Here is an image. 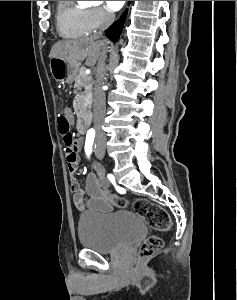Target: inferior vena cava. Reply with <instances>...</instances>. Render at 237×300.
Instances as JSON below:
<instances>
[{
	"label": "inferior vena cava",
	"mask_w": 237,
	"mask_h": 300,
	"mask_svg": "<svg viewBox=\"0 0 237 300\" xmlns=\"http://www.w3.org/2000/svg\"><path fill=\"white\" fill-rule=\"evenodd\" d=\"M115 21L114 13H104L103 21L99 27L98 33H94L93 39H100L103 35V31H106L112 23ZM105 61H106V49H102L100 53L98 67L96 71V81L94 87V129L96 131L97 139H103L105 141V133L102 131L104 125V117L106 113L105 93H104V79H105Z\"/></svg>",
	"instance_id": "602c4592"
}]
</instances>
